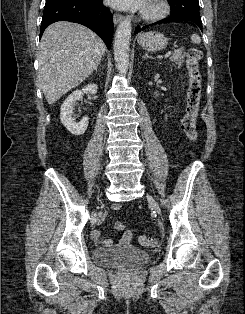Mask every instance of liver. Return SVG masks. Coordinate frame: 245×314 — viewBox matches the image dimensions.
I'll return each instance as SVG.
<instances>
[{"mask_svg":"<svg viewBox=\"0 0 245 314\" xmlns=\"http://www.w3.org/2000/svg\"><path fill=\"white\" fill-rule=\"evenodd\" d=\"M104 42L83 25L59 21L49 25L38 48V81L48 104L80 85L97 67Z\"/></svg>","mask_w":245,"mask_h":314,"instance_id":"liver-1","label":"liver"}]
</instances>
